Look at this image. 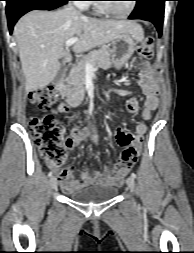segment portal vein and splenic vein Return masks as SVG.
I'll return each instance as SVG.
<instances>
[{
    "mask_svg": "<svg viewBox=\"0 0 194 253\" xmlns=\"http://www.w3.org/2000/svg\"><path fill=\"white\" fill-rule=\"evenodd\" d=\"M78 38L74 37V38H70L66 41L65 45L66 47H70L71 45H73L74 43L78 42ZM86 68H93V66L90 63L86 64Z\"/></svg>",
    "mask_w": 194,
    "mask_h": 253,
    "instance_id": "1",
    "label": "portal vein and splenic vein"
}]
</instances>
